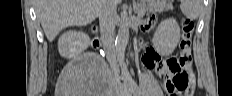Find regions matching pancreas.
I'll return each instance as SVG.
<instances>
[{
  "label": "pancreas",
  "mask_w": 232,
  "mask_h": 96,
  "mask_svg": "<svg viewBox=\"0 0 232 96\" xmlns=\"http://www.w3.org/2000/svg\"><path fill=\"white\" fill-rule=\"evenodd\" d=\"M144 8L148 12H163V11H168V10L172 9V5L171 4H164V3H160V2H150Z\"/></svg>",
  "instance_id": "pancreas-1"
}]
</instances>
